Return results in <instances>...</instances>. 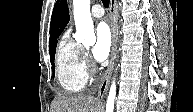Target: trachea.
Segmentation results:
<instances>
[{"label": "trachea", "instance_id": "3493384b", "mask_svg": "<svg viewBox=\"0 0 193 112\" xmlns=\"http://www.w3.org/2000/svg\"><path fill=\"white\" fill-rule=\"evenodd\" d=\"M102 3L104 5V7L108 8L110 1L109 0H102Z\"/></svg>", "mask_w": 193, "mask_h": 112}]
</instances>
